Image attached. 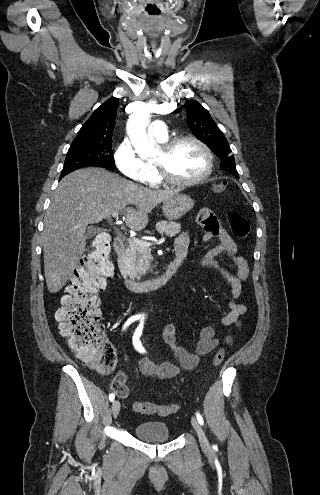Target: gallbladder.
Here are the masks:
<instances>
[{
    "mask_svg": "<svg viewBox=\"0 0 320 495\" xmlns=\"http://www.w3.org/2000/svg\"><path fill=\"white\" fill-rule=\"evenodd\" d=\"M99 232H100L99 228H97L95 226H91L86 230L85 236H86V238H92L93 236H95Z\"/></svg>",
    "mask_w": 320,
    "mask_h": 495,
    "instance_id": "obj_1",
    "label": "gallbladder"
}]
</instances>
